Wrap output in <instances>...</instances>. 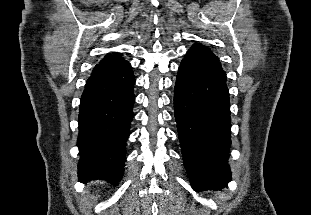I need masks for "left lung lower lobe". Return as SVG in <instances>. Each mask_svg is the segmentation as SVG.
I'll use <instances>...</instances> for the list:
<instances>
[{
	"label": "left lung lower lobe",
	"instance_id": "left-lung-lower-lobe-1",
	"mask_svg": "<svg viewBox=\"0 0 311 215\" xmlns=\"http://www.w3.org/2000/svg\"><path fill=\"white\" fill-rule=\"evenodd\" d=\"M174 109L184 164L197 192L231 181L230 102L226 74L212 51L195 43L178 70Z\"/></svg>",
	"mask_w": 311,
	"mask_h": 215
}]
</instances>
